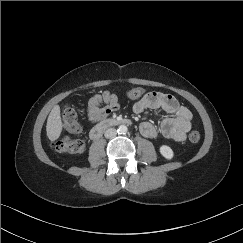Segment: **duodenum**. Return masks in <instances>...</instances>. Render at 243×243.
Returning a JSON list of instances; mask_svg holds the SVG:
<instances>
[{"instance_id": "410a0bca", "label": "duodenum", "mask_w": 243, "mask_h": 243, "mask_svg": "<svg viewBox=\"0 0 243 243\" xmlns=\"http://www.w3.org/2000/svg\"><path fill=\"white\" fill-rule=\"evenodd\" d=\"M131 121L129 119H123V118H108L101 122H99L97 125H95L91 131H90V139L92 140H98L105 130H107L110 127L113 126H119V125H130Z\"/></svg>"}]
</instances>
